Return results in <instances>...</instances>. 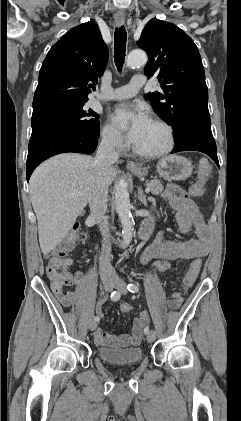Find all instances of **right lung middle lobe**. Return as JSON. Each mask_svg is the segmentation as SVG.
<instances>
[{"mask_svg": "<svg viewBox=\"0 0 241 421\" xmlns=\"http://www.w3.org/2000/svg\"><path fill=\"white\" fill-rule=\"evenodd\" d=\"M86 102H50L33 107L32 133L46 128H67L99 137V115L85 109Z\"/></svg>", "mask_w": 241, "mask_h": 421, "instance_id": "dd1d6c3e", "label": "right lung middle lobe"}]
</instances>
